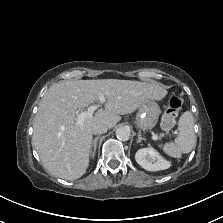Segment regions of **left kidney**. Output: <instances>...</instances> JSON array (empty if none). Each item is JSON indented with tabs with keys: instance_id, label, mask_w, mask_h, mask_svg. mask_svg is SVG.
<instances>
[{
	"instance_id": "1",
	"label": "left kidney",
	"mask_w": 223,
	"mask_h": 223,
	"mask_svg": "<svg viewBox=\"0 0 223 223\" xmlns=\"http://www.w3.org/2000/svg\"><path fill=\"white\" fill-rule=\"evenodd\" d=\"M136 162L145 170L159 171L168 169L171 164L165 160L154 148H142L135 154Z\"/></svg>"
}]
</instances>
